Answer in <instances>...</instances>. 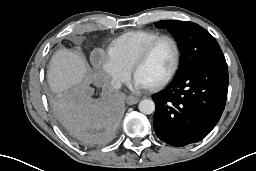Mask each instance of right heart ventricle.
Here are the masks:
<instances>
[{
	"label": "right heart ventricle",
	"mask_w": 256,
	"mask_h": 171,
	"mask_svg": "<svg viewBox=\"0 0 256 171\" xmlns=\"http://www.w3.org/2000/svg\"><path fill=\"white\" fill-rule=\"evenodd\" d=\"M160 36L158 32L149 30H133L114 39L107 48V53L127 69L141 50L153 39Z\"/></svg>",
	"instance_id": "e07e8e85"
}]
</instances>
